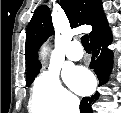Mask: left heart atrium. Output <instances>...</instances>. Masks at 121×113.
<instances>
[{
	"mask_svg": "<svg viewBox=\"0 0 121 113\" xmlns=\"http://www.w3.org/2000/svg\"><path fill=\"white\" fill-rule=\"evenodd\" d=\"M64 76L67 84L79 94H85L92 88V77L83 68L66 69Z\"/></svg>",
	"mask_w": 121,
	"mask_h": 113,
	"instance_id": "left-heart-atrium-1",
	"label": "left heart atrium"
}]
</instances>
